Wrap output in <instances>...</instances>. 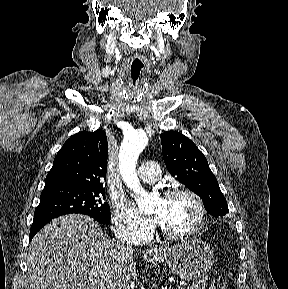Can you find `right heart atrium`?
<instances>
[{
	"mask_svg": "<svg viewBox=\"0 0 288 289\" xmlns=\"http://www.w3.org/2000/svg\"><path fill=\"white\" fill-rule=\"evenodd\" d=\"M112 225L115 235L131 244H141L152 234V225L128 208L123 202L113 205Z\"/></svg>",
	"mask_w": 288,
	"mask_h": 289,
	"instance_id": "d8ad5b80",
	"label": "right heart atrium"
}]
</instances>
